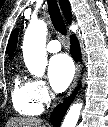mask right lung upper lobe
<instances>
[{"mask_svg": "<svg viewBox=\"0 0 108 127\" xmlns=\"http://www.w3.org/2000/svg\"><path fill=\"white\" fill-rule=\"evenodd\" d=\"M61 8L64 12L65 18L68 22H70L72 15H71V9H70V3L68 0H59ZM17 38H18V33L17 30H14L11 34L10 40L7 45L6 53L9 56H12L14 49L16 48L17 44Z\"/></svg>", "mask_w": 108, "mask_h": 127, "instance_id": "obj_1", "label": "right lung upper lobe"}]
</instances>
